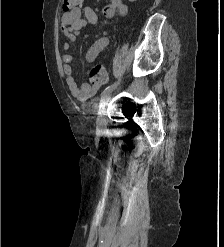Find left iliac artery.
Instances as JSON below:
<instances>
[{
    "label": "left iliac artery",
    "mask_w": 224,
    "mask_h": 247,
    "mask_svg": "<svg viewBox=\"0 0 224 247\" xmlns=\"http://www.w3.org/2000/svg\"><path fill=\"white\" fill-rule=\"evenodd\" d=\"M118 83H119V82L107 86V87L103 90L102 95H103L104 93H106V92L112 90Z\"/></svg>",
    "instance_id": "44dca946"
}]
</instances>
